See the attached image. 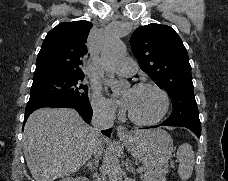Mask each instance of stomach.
<instances>
[{"mask_svg":"<svg viewBox=\"0 0 228 181\" xmlns=\"http://www.w3.org/2000/svg\"><path fill=\"white\" fill-rule=\"evenodd\" d=\"M120 139L132 157L148 169L149 177L158 181L159 177H165L169 173L173 141L166 131H132L130 135H120Z\"/></svg>","mask_w":228,"mask_h":181,"instance_id":"1","label":"stomach"}]
</instances>
